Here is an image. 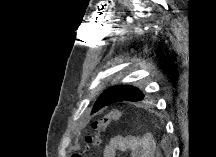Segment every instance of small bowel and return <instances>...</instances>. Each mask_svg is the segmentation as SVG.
Listing matches in <instances>:
<instances>
[{"mask_svg":"<svg viewBox=\"0 0 216 157\" xmlns=\"http://www.w3.org/2000/svg\"><path fill=\"white\" fill-rule=\"evenodd\" d=\"M130 152L131 157H154L156 141L151 133L142 136H115L104 147V157H115L117 152Z\"/></svg>","mask_w":216,"mask_h":157,"instance_id":"small-bowel-1","label":"small bowel"}]
</instances>
